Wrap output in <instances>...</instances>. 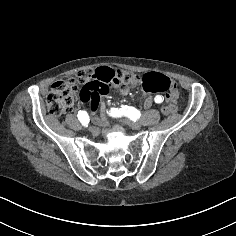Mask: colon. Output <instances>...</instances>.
<instances>
[{
  "mask_svg": "<svg viewBox=\"0 0 236 236\" xmlns=\"http://www.w3.org/2000/svg\"><path fill=\"white\" fill-rule=\"evenodd\" d=\"M139 82L147 93H166L168 103L162 108L164 115L173 114L177 110V88L168 77L158 73H146L139 77L128 71L113 70L109 67H100L96 70L82 69L78 72L76 81H56L47 96V108L52 116L59 117L72 109L77 98L91 107H96L100 97L107 94L110 89L132 86ZM77 83L82 85L80 90Z\"/></svg>",
  "mask_w": 236,
  "mask_h": 236,
  "instance_id": "colon-1",
  "label": "colon"
}]
</instances>
